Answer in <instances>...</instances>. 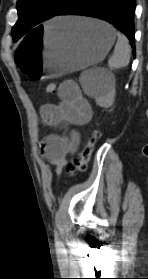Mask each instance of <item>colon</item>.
Returning a JSON list of instances; mask_svg holds the SVG:
<instances>
[{
  "label": "colon",
  "mask_w": 148,
  "mask_h": 279,
  "mask_svg": "<svg viewBox=\"0 0 148 279\" xmlns=\"http://www.w3.org/2000/svg\"><path fill=\"white\" fill-rule=\"evenodd\" d=\"M46 91L50 94H54L57 91V85L55 83H49L46 86ZM100 138V130L98 127H94L90 130L87 138L79 153V158L68 166V172L74 175L78 172H83L87 169L88 163L91 159L95 146Z\"/></svg>",
  "instance_id": "obj_1"
}]
</instances>
